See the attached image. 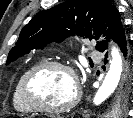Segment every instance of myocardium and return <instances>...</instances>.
<instances>
[{"label": "myocardium", "mask_w": 133, "mask_h": 118, "mask_svg": "<svg viewBox=\"0 0 133 118\" xmlns=\"http://www.w3.org/2000/svg\"><path fill=\"white\" fill-rule=\"evenodd\" d=\"M51 69H61L70 74L73 79L74 87H75V95L73 99L62 106L51 107L42 104L38 99L35 97L34 94V84L36 79L43 74L44 72L51 70ZM22 93L25 102L35 111L43 112V113H51V114H58V113H65L73 109L81 98V87L78 81L77 74L72 66L60 62V61H48L43 62L40 65L36 66L32 69L25 77L23 84H22Z\"/></svg>", "instance_id": "obj_1"}]
</instances>
